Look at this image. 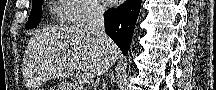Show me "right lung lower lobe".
Segmentation results:
<instances>
[{"mask_svg":"<svg viewBox=\"0 0 216 90\" xmlns=\"http://www.w3.org/2000/svg\"><path fill=\"white\" fill-rule=\"evenodd\" d=\"M141 0H127L117 8H111L104 14L105 31L127 55L135 24L140 12Z\"/></svg>","mask_w":216,"mask_h":90,"instance_id":"obj_1","label":"right lung lower lobe"}]
</instances>
